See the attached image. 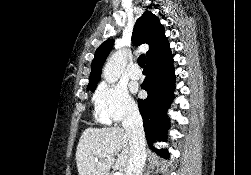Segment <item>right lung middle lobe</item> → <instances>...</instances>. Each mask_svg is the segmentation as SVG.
I'll list each match as a JSON object with an SVG mask.
<instances>
[{"label":"right lung middle lobe","mask_w":251,"mask_h":175,"mask_svg":"<svg viewBox=\"0 0 251 175\" xmlns=\"http://www.w3.org/2000/svg\"><path fill=\"white\" fill-rule=\"evenodd\" d=\"M88 90H92V91H94V90H95V87H94V88H88Z\"/></svg>","instance_id":"dd1d6c3e"}]
</instances>
